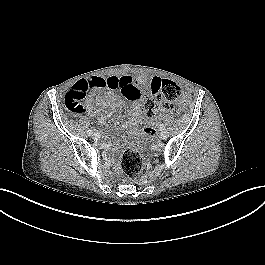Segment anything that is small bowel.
Segmentation results:
<instances>
[{"label": "small bowel", "mask_w": 265, "mask_h": 265, "mask_svg": "<svg viewBox=\"0 0 265 265\" xmlns=\"http://www.w3.org/2000/svg\"><path fill=\"white\" fill-rule=\"evenodd\" d=\"M155 79H161L158 76H154L151 79L138 78L134 79L131 76H117L111 75L108 77H93L89 81L99 82L96 89L108 90L109 94L107 97L95 93L91 95L84 105V110L89 111L91 104L96 103L105 109L101 115L100 120L105 121L108 114L113 110L120 107L122 104V98H127L132 105V116L127 122L126 126L135 129L143 121V112L141 101L143 100L144 94H152V82ZM142 88V89H141ZM118 91L119 96L115 93ZM81 112V113H83Z\"/></svg>", "instance_id": "obj_1"}]
</instances>
